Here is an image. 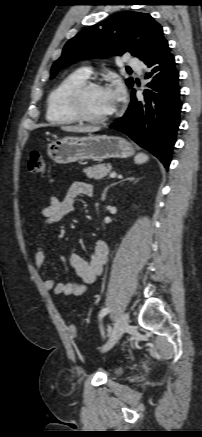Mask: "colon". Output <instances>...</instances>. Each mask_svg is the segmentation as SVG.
<instances>
[{"mask_svg": "<svg viewBox=\"0 0 202 437\" xmlns=\"http://www.w3.org/2000/svg\"><path fill=\"white\" fill-rule=\"evenodd\" d=\"M45 169V162L42 154L39 151H33L28 160V170L34 174L43 173ZM69 333L72 337L78 336V329L75 324H70L68 327Z\"/></svg>", "mask_w": 202, "mask_h": 437, "instance_id": "colon-1", "label": "colon"}]
</instances>
